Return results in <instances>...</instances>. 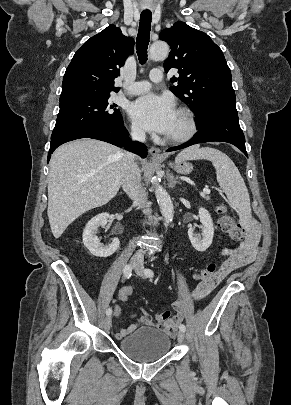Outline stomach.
Returning <instances> with one entry per match:
<instances>
[{"mask_svg": "<svg viewBox=\"0 0 291 405\" xmlns=\"http://www.w3.org/2000/svg\"><path fill=\"white\" fill-rule=\"evenodd\" d=\"M169 165L179 174H189L193 169V166L186 161L176 162L174 165L170 163Z\"/></svg>", "mask_w": 291, "mask_h": 405, "instance_id": "stomach-1", "label": "stomach"}]
</instances>
